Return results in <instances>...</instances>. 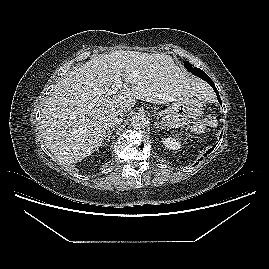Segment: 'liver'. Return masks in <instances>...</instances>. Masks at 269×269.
<instances>
[{
	"label": "liver",
	"mask_w": 269,
	"mask_h": 269,
	"mask_svg": "<svg viewBox=\"0 0 269 269\" xmlns=\"http://www.w3.org/2000/svg\"><path fill=\"white\" fill-rule=\"evenodd\" d=\"M119 73L120 95L108 90ZM212 100L201 80L179 68L172 57L136 51H114L92 58L57 81L41 116L47 149L66 165L82 161L104 141L110 112H129L137 100L168 104L183 96Z\"/></svg>",
	"instance_id": "liver-1"
}]
</instances>
